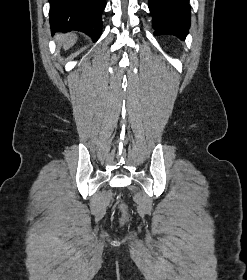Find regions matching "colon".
<instances>
[{"instance_id":"obj_1","label":"colon","mask_w":247,"mask_h":280,"mask_svg":"<svg viewBox=\"0 0 247 280\" xmlns=\"http://www.w3.org/2000/svg\"><path fill=\"white\" fill-rule=\"evenodd\" d=\"M119 208H120L123 212H125V210H126V207H125V205H124L122 202L119 203Z\"/></svg>"}]
</instances>
